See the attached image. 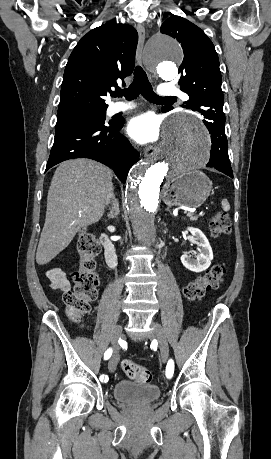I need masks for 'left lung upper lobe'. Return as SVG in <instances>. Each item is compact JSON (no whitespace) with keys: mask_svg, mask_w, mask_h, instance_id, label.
Listing matches in <instances>:
<instances>
[{"mask_svg":"<svg viewBox=\"0 0 271 459\" xmlns=\"http://www.w3.org/2000/svg\"><path fill=\"white\" fill-rule=\"evenodd\" d=\"M160 31L175 38L183 48L179 85L190 97L183 107L199 111L203 116L225 117L219 59L211 40L203 30L180 16L166 19Z\"/></svg>","mask_w":271,"mask_h":459,"instance_id":"obj_1","label":"left lung upper lobe"}]
</instances>
